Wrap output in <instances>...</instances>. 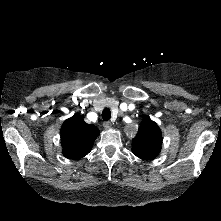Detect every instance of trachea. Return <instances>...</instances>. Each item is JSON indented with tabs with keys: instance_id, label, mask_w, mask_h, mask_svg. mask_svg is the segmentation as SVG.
<instances>
[{
	"instance_id": "3493384b",
	"label": "trachea",
	"mask_w": 221,
	"mask_h": 221,
	"mask_svg": "<svg viewBox=\"0 0 221 221\" xmlns=\"http://www.w3.org/2000/svg\"><path fill=\"white\" fill-rule=\"evenodd\" d=\"M102 118L103 120L108 121L111 118V111L108 108H105L102 112Z\"/></svg>"
}]
</instances>
